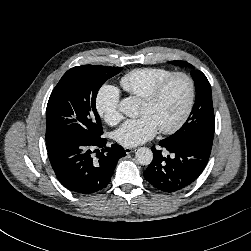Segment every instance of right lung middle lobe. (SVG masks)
Instances as JSON below:
<instances>
[{"mask_svg":"<svg viewBox=\"0 0 251 251\" xmlns=\"http://www.w3.org/2000/svg\"><path fill=\"white\" fill-rule=\"evenodd\" d=\"M122 67L96 65L69 69L52 91L46 109V142L66 134L99 138L102 124L96 110L99 88Z\"/></svg>","mask_w":251,"mask_h":251,"instance_id":"right-lung-middle-lobe-1","label":"right lung middle lobe"}]
</instances>
